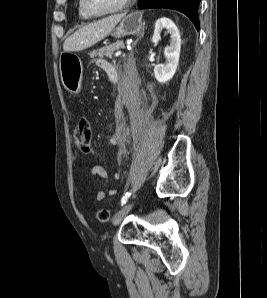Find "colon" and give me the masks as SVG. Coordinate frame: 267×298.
Returning a JSON list of instances; mask_svg holds the SVG:
<instances>
[{
  "instance_id": "colon-1",
  "label": "colon",
  "mask_w": 267,
  "mask_h": 298,
  "mask_svg": "<svg viewBox=\"0 0 267 298\" xmlns=\"http://www.w3.org/2000/svg\"><path fill=\"white\" fill-rule=\"evenodd\" d=\"M93 130L92 125L89 119H81L74 130V143L76 147L87 153L91 149V140H92ZM111 218V213L107 209H100L97 212V219L100 222H108Z\"/></svg>"
}]
</instances>
